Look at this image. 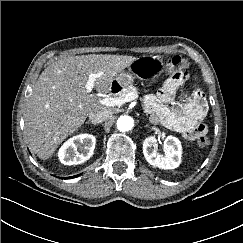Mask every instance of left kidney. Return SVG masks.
Segmentation results:
<instances>
[{
	"label": "left kidney",
	"mask_w": 243,
	"mask_h": 243,
	"mask_svg": "<svg viewBox=\"0 0 243 243\" xmlns=\"http://www.w3.org/2000/svg\"><path fill=\"white\" fill-rule=\"evenodd\" d=\"M156 145L157 139L154 136L147 137L143 141V154L150 165L166 170L175 169L180 165L182 148L178 138L166 137L163 145L165 156L157 153Z\"/></svg>",
	"instance_id": "obj_1"
}]
</instances>
